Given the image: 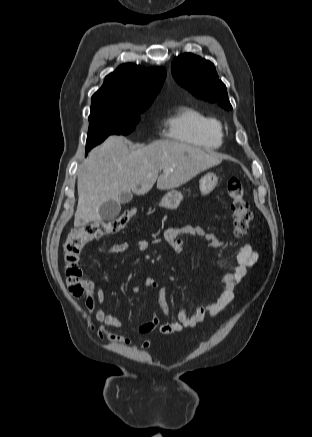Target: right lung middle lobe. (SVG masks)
<instances>
[{"instance_id": "1", "label": "right lung middle lobe", "mask_w": 312, "mask_h": 437, "mask_svg": "<svg viewBox=\"0 0 312 437\" xmlns=\"http://www.w3.org/2000/svg\"><path fill=\"white\" fill-rule=\"evenodd\" d=\"M140 114L141 113L91 112L89 116L86 153L92 147L102 143L110 135H127L132 132L135 129L136 123L139 121Z\"/></svg>"}]
</instances>
